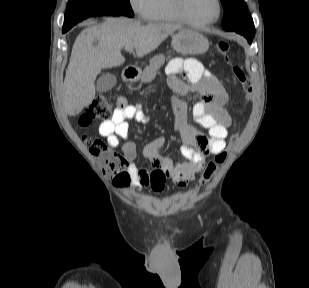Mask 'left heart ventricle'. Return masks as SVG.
Masks as SVG:
<instances>
[{"mask_svg": "<svg viewBox=\"0 0 309 288\" xmlns=\"http://www.w3.org/2000/svg\"><path fill=\"white\" fill-rule=\"evenodd\" d=\"M185 11L194 21L212 19L217 12L216 0H185Z\"/></svg>", "mask_w": 309, "mask_h": 288, "instance_id": "b2bd125f", "label": "left heart ventricle"}]
</instances>
